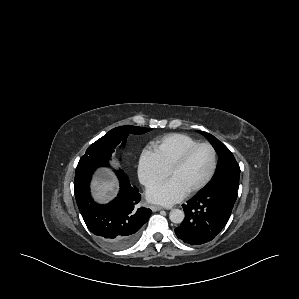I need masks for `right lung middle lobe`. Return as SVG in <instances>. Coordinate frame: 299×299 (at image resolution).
I'll use <instances>...</instances> for the list:
<instances>
[{
  "mask_svg": "<svg viewBox=\"0 0 299 299\" xmlns=\"http://www.w3.org/2000/svg\"><path fill=\"white\" fill-rule=\"evenodd\" d=\"M151 128L137 127V126H120L110 130L105 136L98 139L86 150L79 163L92 160L107 161L114 152L115 147L122 143H125L127 136L130 133L143 134Z\"/></svg>",
  "mask_w": 299,
  "mask_h": 299,
  "instance_id": "right-lung-middle-lobe-1",
  "label": "right lung middle lobe"
}]
</instances>
